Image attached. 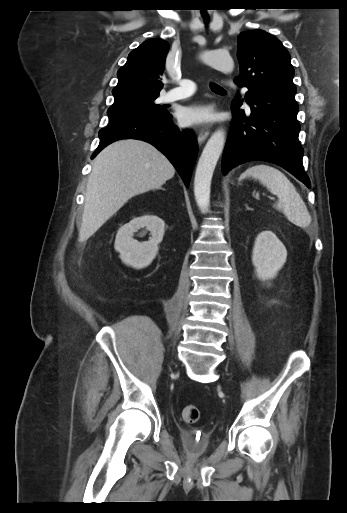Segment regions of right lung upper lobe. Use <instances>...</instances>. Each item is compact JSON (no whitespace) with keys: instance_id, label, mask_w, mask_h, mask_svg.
<instances>
[{"instance_id":"1","label":"right lung upper lobe","mask_w":347,"mask_h":513,"mask_svg":"<svg viewBox=\"0 0 347 513\" xmlns=\"http://www.w3.org/2000/svg\"><path fill=\"white\" fill-rule=\"evenodd\" d=\"M169 44L160 39L144 41L130 52L118 72V84L112 90L114 104L135 98L159 96Z\"/></svg>"}]
</instances>
